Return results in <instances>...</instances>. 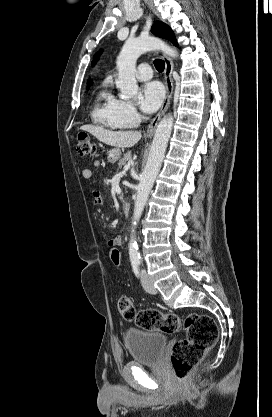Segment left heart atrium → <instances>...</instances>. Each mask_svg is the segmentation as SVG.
I'll return each instance as SVG.
<instances>
[{
    "instance_id": "obj_1",
    "label": "left heart atrium",
    "mask_w": 272,
    "mask_h": 417,
    "mask_svg": "<svg viewBox=\"0 0 272 417\" xmlns=\"http://www.w3.org/2000/svg\"><path fill=\"white\" fill-rule=\"evenodd\" d=\"M164 99V88L156 81L146 83L141 89L140 106L145 113L155 112Z\"/></svg>"
}]
</instances>
